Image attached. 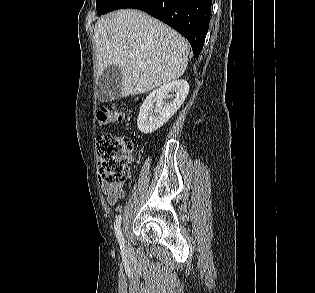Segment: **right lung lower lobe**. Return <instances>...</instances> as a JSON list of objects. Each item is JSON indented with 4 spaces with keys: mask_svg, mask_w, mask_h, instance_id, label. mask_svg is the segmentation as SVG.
Listing matches in <instances>:
<instances>
[{
    "mask_svg": "<svg viewBox=\"0 0 315 293\" xmlns=\"http://www.w3.org/2000/svg\"><path fill=\"white\" fill-rule=\"evenodd\" d=\"M211 3L212 0H113L105 13L122 8L143 10L183 35L198 59L208 31Z\"/></svg>",
    "mask_w": 315,
    "mask_h": 293,
    "instance_id": "1",
    "label": "right lung lower lobe"
}]
</instances>
